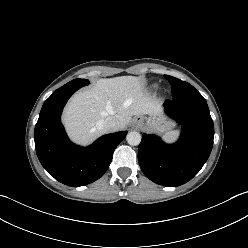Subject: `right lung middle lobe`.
<instances>
[{
	"label": "right lung middle lobe",
	"mask_w": 248,
	"mask_h": 248,
	"mask_svg": "<svg viewBox=\"0 0 248 248\" xmlns=\"http://www.w3.org/2000/svg\"><path fill=\"white\" fill-rule=\"evenodd\" d=\"M89 81L86 79H74L69 83L65 84L64 86H71V85H80L81 87L88 85Z\"/></svg>",
	"instance_id": "dd1d6c3e"
}]
</instances>
